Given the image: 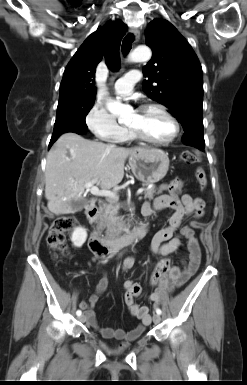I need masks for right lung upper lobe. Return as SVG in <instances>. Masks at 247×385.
<instances>
[{"label":"right lung upper lobe","mask_w":247,"mask_h":385,"mask_svg":"<svg viewBox=\"0 0 247 385\" xmlns=\"http://www.w3.org/2000/svg\"><path fill=\"white\" fill-rule=\"evenodd\" d=\"M126 30L122 21L108 22L87 37L65 69L59 96L95 97L96 66L104 57L110 68H119V46Z\"/></svg>","instance_id":"cb5924a9"}]
</instances>
